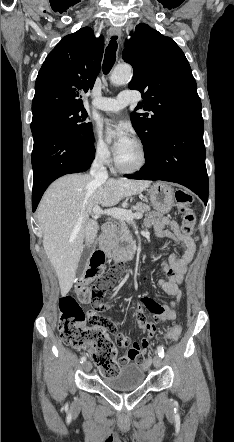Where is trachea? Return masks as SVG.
I'll list each match as a JSON object with an SVG mask.
<instances>
[{"instance_id":"3493384b","label":"trachea","mask_w":234,"mask_h":442,"mask_svg":"<svg viewBox=\"0 0 234 442\" xmlns=\"http://www.w3.org/2000/svg\"><path fill=\"white\" fill-rule=\"evenodd\" d=\"M117 36H112L109 45L105 50L104 62H103V73L108 74L112 69L116 60L117 51Z\"/></svg>"}]
</instances>
